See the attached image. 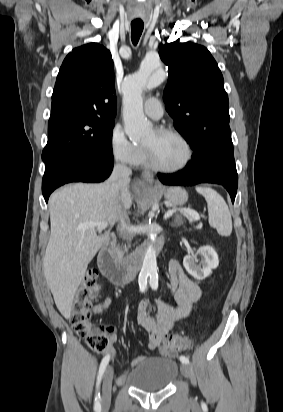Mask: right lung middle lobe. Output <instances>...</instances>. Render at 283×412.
<instances>
[{
	"label": "right lung middle lobe",
	"instance_id": "1",
	"mask_svg": "<svg viewBox=\"0 0 283 412\" xmlns=\"http://www.w3.org/2000/svg\"><path fill=\"white\" fill-rule=\"evenodd\" d=\"M113 126L114 122L106 123L90 112L69 111L50 116L42 160L47 163L65 156L113 160Z\"/></svg>",
	"mask_w": 283,
	"mask_h": 412
}]
</instances>
